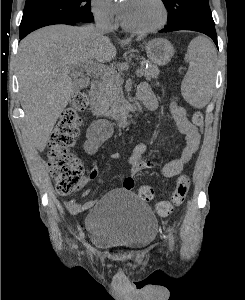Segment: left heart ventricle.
<instances>
[{"label":"left heart ventricle","mask_w":245,"mask_h":300,"mask_svg":"<svg viewBox=\"0 0 245 300\" xmlns=\"http://www.w3.org/2000/svg\"><path fill=\"white\" fill-rule=\"evenodd\" d=\"M124 21L133 27L148 28L162 19V11L156 0H126L122 7Z\"/></svg>","instance_id":"obj_1"}]
</instances>
